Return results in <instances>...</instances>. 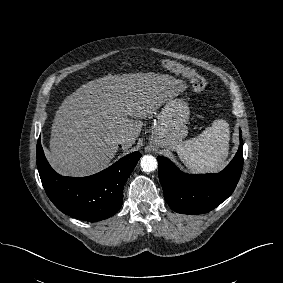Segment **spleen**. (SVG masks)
Instances as JSON below:
<instances>
[{"mask_svg": "<svg viewBox=\"0 0 283 283\" xmlns=\"http://www.w3.org/2000/svg\"><path fill=\"white\" fill-rule=\"evenodd\" d=\"M230 140L229 124L213 121L200 135L184 141L176 148L183 164L195 173H214L225 166Z\"/></svg>", "mask_w": 283, "mask_h": 283, "instance_id": "1", "label": "spleen"}]
</instances>
